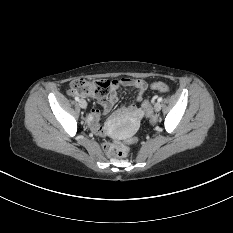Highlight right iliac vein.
Returning <instances> with one entry per match:
<instances>
[{
	"label": "right iliac vein",
	"mask_w": 233,
	"mask_h": 233,
	"mask_svg": "<svg viewBox=\"0 0 233 233\" xmlns=\"http://www.w3.org/2000/svg\"><path fill=\"white\" fill-rule=\"evenodd\" d=\"M79 105L81 108L85 109L87 107V102L83 99L79 100Z\"/></svg>",
	"instance_id": "1"
}]
</instances>
